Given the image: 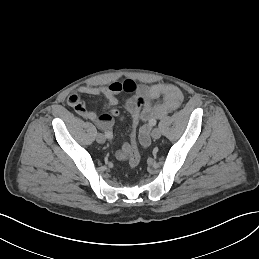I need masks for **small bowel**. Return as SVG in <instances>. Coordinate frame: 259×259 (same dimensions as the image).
<instances>
[{
  "instance_id": "obj_1",
  "label": "small bowel",
  "mask_w": 259,
  "mask_h": 259,
  "mask_svg": "<svg viewBox=\"0 0 259 259\" xmlns=\"http://www.w3.org/2000/svg\"><path fill=\"white\" fill-rule=\"evenodd\" d=\"M122 92L136 93L133 98L124 102V108L130 113L135 111L136 96L143 97L146 101L145 106L140 111V118L144 124L140 129L138 138L142 148L150 146V131L156 120L180 107L184 99L182 91L173 84L137 85L133 80L128 79L102 86L82 85L78 88V93H72L67 101L83 118L93 121L99 128L109 131L113 126L114 117L123 118L120 111L115 108L118 103L117 95ZM79 94L103 97L109 113L98 115L87 109ZM159 98H162V100L158 101ZM129 151L130 145L124 143L121 149L116 152V157L119 160H125L129 156Z\"/></svg>"
}]
</instances>
